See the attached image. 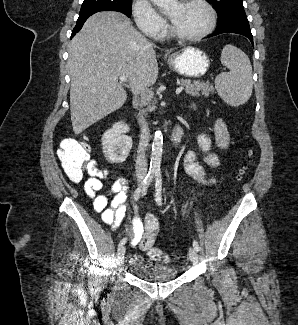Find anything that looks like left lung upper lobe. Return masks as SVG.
<instances>
[{
  "label": "left lung upper lobe",
  "mask_w": 298,
  "mask_h": 325,
  "mask_svg": "<svg viewBox=\"0 0 298 325\" xmlns=\"http://www.w3.org/2000/svg\"><path fill=\"white\" fill-rule=\"evenodd\" d=\"M218 13V22L235 13L245 12L242 0H210Z\"/></svg>",
  "instance_id": "5c2ea615"
}]
</instances>
